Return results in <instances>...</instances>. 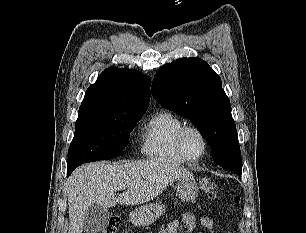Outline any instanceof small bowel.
Returning a JSON list of instances; mask_svg holds the SVG:
<instances>
[{
  "label": "small bowel",
  "instance_id": "obj_1",
  "mask_svg": "<svg viewBox=\"0 0 306 233\" xmlns=\"http://www.w3.org/2000/svg\"><path fill=\"white\" fill-rule=\"evenodd\" d=\"M181 222H182L184 230L187 233L193 232L197 225L200 228H205L208 230H212L214 228V222L212 218L208 216L197 218L192 213L183 214L181 218ZM159 233H181L180 232V222L177 220L170 222L165 228L160 230ZM197 233H202V232L199 230ZM228 233H231V232H228Z\"/></svg>",
  "mask_w": 306,
  "mask_h": 233
}]
</instances>
